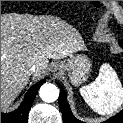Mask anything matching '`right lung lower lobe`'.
<instances>
[{
  "instance_id": "98d812e1",
  "label": "right lung lower lobe",
  "mask_w": 123,
  "mask_h": 123,
  "mask_svg": "<svg viewBox=\"0 0 123 123\" xmlns=\"http://www.w3.org/2000/svg\"><path fill=\"white\" fill-rule=\"evenodd\" d=\"M45 79L39 81L29 89L24 101L16 111L11 113H1V123H27L31 105L40 86L46 81Z\"/></svg>"
}]
</instances>
